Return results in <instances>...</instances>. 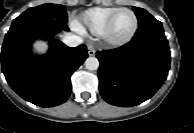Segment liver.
I'll list each match as a JSON object with an SVG mask.
<instances>
[{
	"mask_svg": "<svg viewBox=\"0 0 194 133\" xmlns=\"http://www.w3.org/2000/svg\"><path fill=\"white\" fill-rule=\"evenodd\" d=\"M66 35H69V33H65L64 36ZM34 47L36 49V51L40 52V53H43L47 50L48 48V45L46 42H43V41H37L35 44H34Z\"/></svg>",
	"mask_w": 194,
	"mask_h": 133,
	"instance_id": "6515ba94",
	"label": "liver"
}]
</instances>
